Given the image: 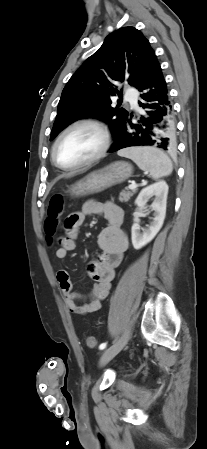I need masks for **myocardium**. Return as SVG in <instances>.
<instances>
[{
	"label": "myocardium",
	"instance_id": "myocardium-1",
	"mask_svg": "<svg viewBox=\"0 0 207 449\" xmlns=\"http://www.w3.org/2000/svg\"><path fill=\"white\" fill-rule=\"evenodd\" d=\"M78 127H89V128L94 129L95 131H97L101 137V146H100L99 150L92 157H90L84 161H81V162L73 164V165H68V166L62 165L59 163L57 156H56V150H57L58 144L61 141V139L68 132H70L71 130L78 128ZM110 144H111V133L106 125H104L101 122L94 121V120H87V119L78 120V121H75V122L71 123L70 125H68L57 136V138L53 144V147H52V153H51L52 160H53L54 164L62 170L78 169L80 167L93 164L94 162L101 159L107 153V151L110 147Z\"/></svg>",
	"mask_w": 207,
	"mask_h": 449
}]
</instances>
